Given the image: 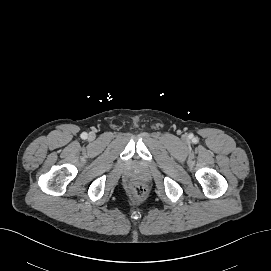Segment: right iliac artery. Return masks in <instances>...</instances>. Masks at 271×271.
I'll return each mask as SVG.
<instances>
[{
	"mask_svg": "<svg viewBox=\"0 0 271 271\" xmlns=\"http://www.w3.org/2000/svg\"><path fill=\"white\" fill-rule=\"evenodd\" d=\"M81 138H82V139H86V138H87V133H85V132L82 133V134H81Z\"/></svg>",
	"mask_w": 271,
	"mask_h": 271,
	"instance_id": "right-iliac-artery-1",
	"label": "right iliac artery"
}]
</instances>
